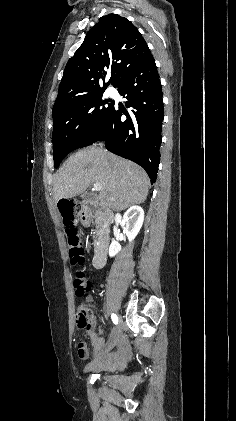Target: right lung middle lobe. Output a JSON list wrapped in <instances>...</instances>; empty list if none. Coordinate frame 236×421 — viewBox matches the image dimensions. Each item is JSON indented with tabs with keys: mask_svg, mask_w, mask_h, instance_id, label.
Segmentation results:
<instances>
[{
	"mask_svg": "<svg viewBox=\"0 0 236 421\" xmlns=\"http://www.w3.org/2000/svg\"><path fill=\"white\" fill-rule=\"evenodd\" d=\"M103 91L70 100L53 110V159L57 168L64 157L79 148L105 121L114 105L102 100ZM108 104L107 107L103 106Z\"/></svg>",
	"mask_w": 236,
	"mask_h": 421,
	"instance_id": "1",
	"label": "right lung middle lobe"
}]
</instances>
